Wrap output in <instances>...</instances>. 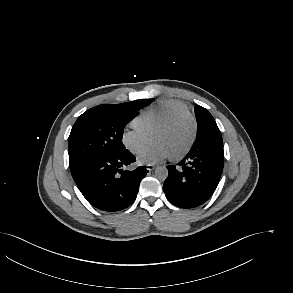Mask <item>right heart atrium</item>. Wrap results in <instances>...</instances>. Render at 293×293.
<instances>
[{
	"label": "right heart atrium",
	"mask_w": 293,
	"mask_h": 293,
	"mask_svg": "<svg viewBox=\"0 0 293 293\" xmlns=\"http://www.w3.org/2000/svg\"><path fill=\"white\" fill-rule=\"evenodd\" d=\"M121 142L131 153L138 154L147 146L149 136L135 126L126 127L121 134Z\"/></svg>",
	"instance_id": "1"
}]
</instances>
